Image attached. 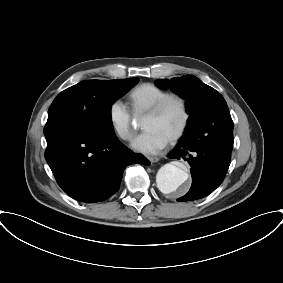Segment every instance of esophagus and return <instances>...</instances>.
Segmentation results:
<instances>
[{
    "label": "esophagus",
    "mask_w": 283,
    "mask_h": 283,
    "mask_svg": "<svg viewBox=\"0 0 283 283\" xmlns=\"http://www.w3.org/2000/svg\"><path fill=\"white\" fill-rule=\"evenodd\" d=\"M148 159L151 163H155L159 161V157H148Z\"/></svg>",
    "instance_id": "obj_1"
}]
</instances>
